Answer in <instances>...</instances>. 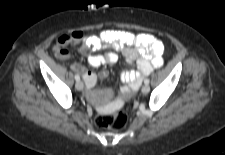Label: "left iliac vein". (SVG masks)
Here are the masks:
<instances>
[{
    "label": "left iliac vein",
    "instance_id": "1",
    "mask_svg": "<svg viewBox=\"0 0 225 155\" xmlns=\"http://www.w3.org/2000/svg\"><path fill=\"white\" fill-rule=\"evenodd\" d=\"M141 91H142L144 94L148 93V92L150 91L149 85H148V84L143 85Z\"/></svg>",
    "mask_w": 225,
    "mask_h": 155
}]
</instances>
